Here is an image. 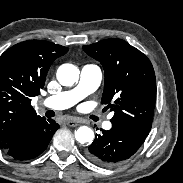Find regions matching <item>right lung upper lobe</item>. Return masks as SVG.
<instances>
[{
    "label": "right lung upper lobe",
    "instance_id": "1",
    "mask_svg": "<svg viewBox=\"0 0 183 183\" xmlns=\"http://www.w3.org/2000/svg\"><path fill=\"white\" fill-rule=\"evenodd\" d=\"M67 47L41 40L16 44L0 56V148L13 143L19 129L40 116L30 105L44 87L53 61Z\"/></svg>",
    "mask_w": 183,
    "mask_h": 183
}]
</instances>
